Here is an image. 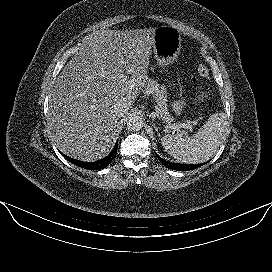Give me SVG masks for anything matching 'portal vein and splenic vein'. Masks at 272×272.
Here are the masks:
<instances>
[{
    "mask_svg": "<svg viewBox=\"0 0 272 272\" xmlns=\"http://www.w3.org/2000/svg\"><path fill=\"white\" fill-rule=\"evenodd\" d=\"M155 109H156V113H157L158 107L155 106ZM169 128H171V129H173L175 131H180L181 128L188 129V130L192 131V126L190 124H187V123H183V124H170Z\"/></svg>",
    "mask_w": 272,
    "mask_h": 272,
    "instance_id": "18ae733b",
    "label": "portal vein and splenic vein"
}]
</instances>
